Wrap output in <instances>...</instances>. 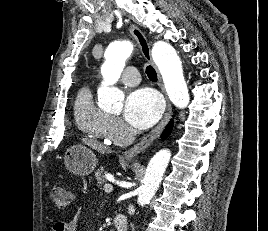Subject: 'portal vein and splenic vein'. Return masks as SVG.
I'll return each instance as SVG.
<instances>
[{
	"instance_id": "18ae733b",
	"label": "portal vein and splenic vein",
	"mask_w": 268,
	"mask_h": 231,
	"mask_svg": "<svg viewBox=\"0 0 268 231\" xmlns=\"http://www.w3.org/2000/svg\"><path fill=\"white\" fill-rule=\"evenodd\" d=\"M104 191H105V193H111L113 191V186L109 183L105 184Z\"/></svg>"
}]
</instances>
